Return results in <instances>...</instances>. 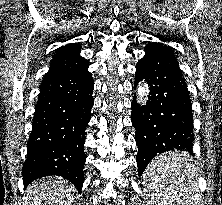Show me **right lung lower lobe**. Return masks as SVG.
<instances>
[{
	"label": "right lung lower lobe",
	"mask_w": 222,
	"mask_h": 205,
	"mask_svg": "<svg viewBox=\"0 0 222 205\" xmlns=\"http://www.w3.org/2000/svg\"><path fill=\"white\" fill-rule=\"evenodd\" d=\"M87 68L43 79L22 169L25 186L57 175L81 190L85 129L94 102V82Z\"/></svg>",
	"instance_id": "1"
}]
</instances>
